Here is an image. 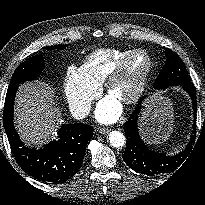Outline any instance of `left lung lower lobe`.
Instances as JSON below:
<instances>
[{
    "label": "left lung lower lobe",
    "instance_id": "0a47b994",
    "mask_svg": "<svg viewBox=\"0 0 205 205\" xmlns=\"http://www.w3.org/2000/svg\"><path fill=\"white\" fill-rule=\"evenodd\" d=\"M181 86L190 95L194 114H196V90L193 83L190 82ZM142 100L143 99H141V102ZM139 113L140 107L138 105L131 114L129 120L124 124L123 128L126 135V149L123 154V159L132 170L147 176H157L169 173L182 163L191 146V141L183 152L173 157L166 156L163 153L153 152L144 144L139 136L137 125ZM193 128H195V124L193 125ZM192 133H195V131H192Z\"/></svg>",
    "mask_w": 205,
    "mask_h": 205
}]
</instances>
